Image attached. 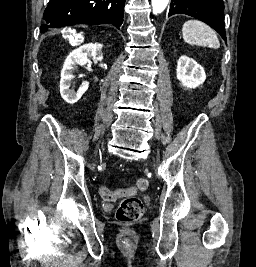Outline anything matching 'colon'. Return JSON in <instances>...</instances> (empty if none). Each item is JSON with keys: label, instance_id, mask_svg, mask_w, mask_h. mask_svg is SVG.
<instances>
[{"label": "colon", "instance_id": "1", "mask_svg": "<svg viewBox=\"0 0 256 267\" xmlns=\"http://www.w3.org/2000/svg\"><path fill=\"white\" fill-rule=\"evenodd\" d=\"M149 181L145 178H138L135 182V185L129 188H121L110 190L106 187L100 188V195L102 200L110 201L116 199L117 197H123L118 195H130L135 196L139 192L146 191L149 188ZM127 199L120 200L118 206L116 217L121 222H135L139 220L144 213V204L137 197H124Z\"/></svg>", "mask_w": 256, "mask_h": 267}]
</instances>
